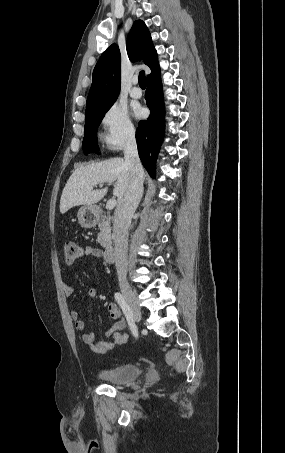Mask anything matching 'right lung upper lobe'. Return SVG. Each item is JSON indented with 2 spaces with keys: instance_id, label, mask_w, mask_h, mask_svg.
<instances>
[{
  "instance_id": "obj_1",
  "label": "right lung upper lobe",
  "mask_w": 285,
  "mask_h": 453,
  "mask_svg": "<svg viewBox=\"0 0 285 453\" xmlns=\"http://www.w3.org/2000/svg\"><path fill=\"white\" fill-rule=\"evenodd\" d=\"M129 59L143 60L151 74L160 70L156 50L144 21L134 22L126 42ZM121 55L119 47L112 44L98 60L88 94L86 114L104 108L116 101L120 93ZM148 75L147 78L150 76Z\"/></svg>"
}]
</instances>
